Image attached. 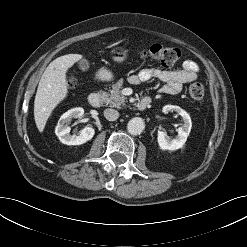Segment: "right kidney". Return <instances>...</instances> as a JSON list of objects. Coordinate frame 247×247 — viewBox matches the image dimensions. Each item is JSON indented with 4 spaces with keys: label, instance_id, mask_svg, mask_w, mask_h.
<instances>
[{
    "label": "right kidney",
    "instance_id": "ca27d5eb",
    "mask_svg": "<svg viewBox=\"0 0 247 247\" xmlns=\"http://www.w3.org/2000/svg\"><path fill=\"white\" fill-rule=\"evenodd\" d=\"M84 114L83 108H73L65 112L59 119L55 128V134L59 140L67 145H81L91 140L94 136V129L92 127H85L78 135H70L71 128L67 125L72 118H81Z\"/></svg>",
    "mask_w": 247,
    "mask_h": 247
}]
</instances>
